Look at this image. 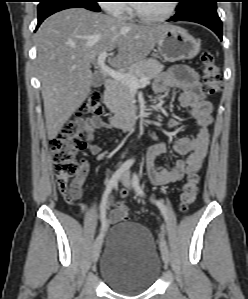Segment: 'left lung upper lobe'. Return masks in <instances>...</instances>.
Masks as SVG:
<instances>
[{"instance_id":"1","label":"left lung upper lobe","mask_w":248,"mask_h":299,"mask_svg":"<svg viewBox=\"0 0 248 299\" xmlns=\"http://www.w3.org/2000/svg\"><path fill=\"white\" fill-rule=\"evenodd\" d=\"M217 0H180L177 9L190 13L191 11L204 7V6H216Z\"/></svg>"}]
</instances>
